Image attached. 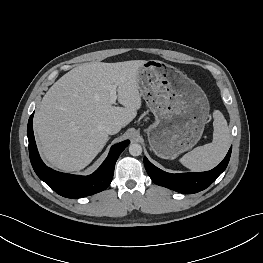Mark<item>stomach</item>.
Listing matches in <instances>:
<instances>
[{
    "mask_svg": "<svg viewBox=\"0 0 263 263\" xmlns=\"http://www.w3.org/2000/svg\"><path fill=\"white\" fill-rule=\"evenodd\" d=\"M139 90L155 116L147 128L151 150L172 159L200 140L209 116L206 94L176 67L148 60L139 67Z\"/></svg>",
    "mask_w": 263,
    "mask_h": 263,
    "instance_id": "1",
    "label": "stomach"
}]
</instances>
